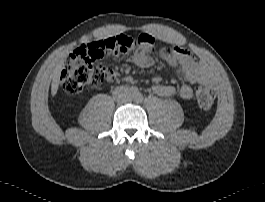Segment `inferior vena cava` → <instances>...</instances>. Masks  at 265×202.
I'll list each match as a JSON object with an SVG mask.
<instances>
[{
  "label": "inferior vena cava",
  "instance_id": "obj_1",
  "mask_svg": "<svg viewBox=\"0 0 265 202\" xmlns=\"http://www.w3.org/2000/svg\"><path fill=\"white\" fill-rule=\"evenodd\" d=\"M113 98L116 102L119 103L130 101L131 93L129 88L126 86L116 87L113 91Z\"/></svg>",
  "mask_w": 265,
  "mask_h": 202
}]
</instances>
